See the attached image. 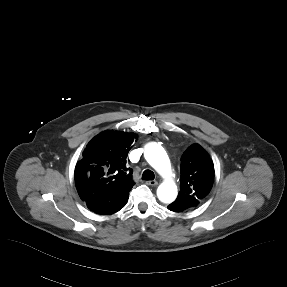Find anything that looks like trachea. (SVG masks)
Returning a JSON list of instances; mask_svg holds the SVG:
<instances>
[{
	"instance_id": "trachea-1",
	"label": "trachea",
	"mask_w": 287,
	"mask_h": 287,
	"mask_svg": "<svg viewBox=\"0 0 287 287\" xmlns=\"http://www.w3.org/2000/svg\"><path fill=\"white\" fill-rule=\"evenodd\" d=\"M154 178H155V175L153 171L151 170H145L142 174V180L150 181V180H154Z\"/></svg>"
}]
</instances>
